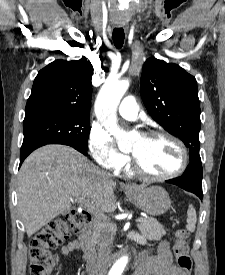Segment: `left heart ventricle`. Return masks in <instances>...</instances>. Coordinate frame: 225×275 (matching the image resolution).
I'll return each instance as SVG.
<instances>
[{
  "mask_svg": "<svg viewBox=\"0 0 225 275\" xmlns=\"http://www.w3.org/2000/svg\"><path fill=\"white\" fill-rule=\"evenodd\" d=\"M131 152L144 171L153 175H164L176 170L181 155L177 146L165 138H138Z\"/></svg>",
  "mask_w": 225,
  "mask_h": 275,
  "instance_id": "left-heart-ventricle-1",
  "label": "left heart ventricle"
}]
</instances>
